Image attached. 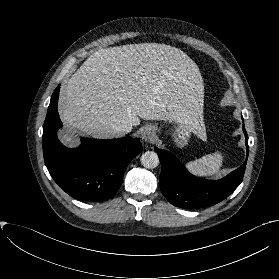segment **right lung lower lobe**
Returning a JSON list of instances; mask_svg holds the SVG:
<instances>
[{"mask_svg": "<svg viewBox=\"0 0 279 279\" xmlns=\"http://www.w3.org/2000/svg\"><path fill=\"white\" fill-rule=\"evenodd\" d=\"M59 86L52 94L43 125V154L54 181L71 197L87 201H105L120 188L130 161L142 151L138 138L99 140L82 139V146L65 147L57 138L62 126L57 102Z\"/></svg>", "mask_w": 279, "mask_h": 279, "instance_id": "right-lung-lower-lobe-1", "label": "right lung lower lobe"}]
</instances>
